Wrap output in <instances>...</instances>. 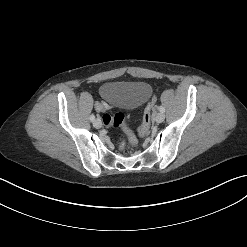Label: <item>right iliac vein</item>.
<instances>
[{
	"mask_svg": "<svg viewBox=\"0 0 247 247\" xmlns=\"http://www.w3.org/2000/svg\"><path fill=\"white\" fill-rule=\"evenodd\" d=\"M94 127L96 128H101L102 127V122L99 118H97L96 120H94Z\"/></svg>",
	"mask_w": 247,
	"mask_h": 247,
	"instance_id": "1",
	"label": "right iliac vein"
}]
</instances>
